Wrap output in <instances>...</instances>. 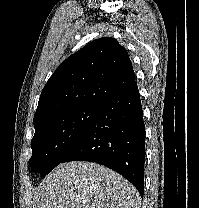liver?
Returning a JSON list of instances; mask_svg holds the SVG:
<instances>
[{
	"label": "liver",
	"mask_w": 199,
	"mask_h": 208,
	"mask_svg": "<svg viewBox=\"0 0 199 208\" xmlns=\"http://www.w3.org/2000/svg\"><path fill=\"white\" fill-rule=\"evenodd\" d=\"M33 208H140L136 188L97 163L59 164L35 189Z\"/></svg>",
	"instance_id": "obj_1"
}]
</instances>
